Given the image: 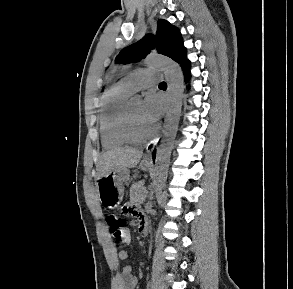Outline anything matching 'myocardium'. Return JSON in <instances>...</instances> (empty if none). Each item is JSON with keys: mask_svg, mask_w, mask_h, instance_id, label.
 I'll use <instances>...</instances> for the list:
<instances>
[{"mask_svg": "<svg viewBox=\"0 0 293 289\" xmlns=\"http://www.w3.org/2000/svg\"><path fill=\"white\" fill-rule=\"evenodd\" d=\"M123 131L127 141L133 145H144L152 141L157 133L158 126H154L152 132L144 138H140L135 134L133 121L130 113V104H127L124 110Z\"/></svg>", "mask_w": 293, "mask_h": 289, "instance_id": "obj_1", "label": "myocardium"}]
</instances>
